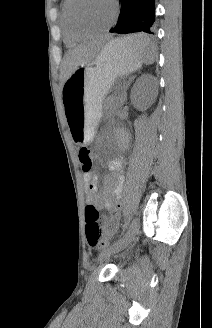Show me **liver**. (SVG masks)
<instances>
[{
    "label": "liver",
    "instance_id": "liver-1",
    "mask_svg": "<svg viewBox=\"0 0 212 328\" xmlns=\"http://www.w3.org/2000/svg\"><path fill=\"white\" fill-rule=\"evenodd\" d=\"M101 46H81L70 49L64 56V80L65 81L77 67L90 65L98 56Z\"/></svg>",
    "mask_w": 212,
    "mask_h": 328
}]
</instances>
